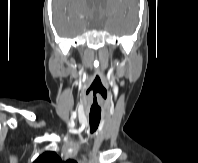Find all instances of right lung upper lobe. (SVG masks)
I'll return each mask as SVG.
<instances>
[{"label": "right lung upper lobe", "instance_id": "obj_1", "mask_svg": "<svg viewBox=\"0 0 198 163\" xmlns=\"http://www.w3.org/2000/svg\"><path fill=\"white\" fill-rule=\"evenodd\" d=\"M33 163H70V161L65 162L61 160L56 152L47 151L41 154Z\"/></svg>", "mask_w": 198, "mask_h": 163}]
</instances>
